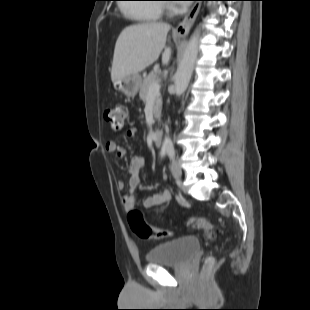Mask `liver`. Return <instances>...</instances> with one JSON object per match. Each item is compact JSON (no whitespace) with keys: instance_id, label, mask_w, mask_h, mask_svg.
<instances>
[{"instance_id":"6515ba94","label":"liver","mask_w":310,"mask_h":310,"mask_svg":"<svg viewBox=\"0 0 310 310\" xmlns=\"http://www.w3.org/2000/svg\"><path fill=\"white\" fill-rule=\"evenodd\" d=\"M170 25L166 23H142L126 27L119 35L114 49L111 79L119 81L126 76L139 75L152 65L165 47ZM171 48L162 55L163 64L170 61Z\"/></svg>"}]
</instances>
